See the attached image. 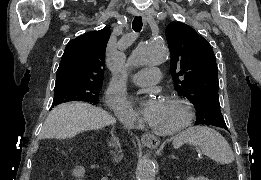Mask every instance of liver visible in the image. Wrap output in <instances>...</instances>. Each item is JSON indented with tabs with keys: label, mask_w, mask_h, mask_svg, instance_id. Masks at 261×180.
Listing matches in <instances>:
<instances>
[{
	"label": "liver",
	"mask_w": 261,
	"mask_h": 180,
	"mask_svg": "<svg viewBox=\"0 0 261 180\" xmlns=\"http://www.w3.org/2000/svg\"><path fill=\"white\" fill-rule=\"evenodd\" d=\"M110 124H115V118L109 116L105 110L95 108L91 104L70 102L50 112L44 124L43 134L45 138L66 140L88 130H102Z\"/></svg>",
	"instance_id": "6515ba94"
}]
</instances>
